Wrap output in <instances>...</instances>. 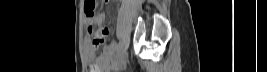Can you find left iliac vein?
Listing matches in <instances>:
<instances>
[{
	"instance_id": "4c4485c4",
	"label": "left iliac vein",
	"mask_w": 267,
	"mask_h": 72,
	"mask_svg": "<svg viewBox=\"0 0 267 72\" xmlns=\"http://www.w3.org/2000/svg\"><path fill=\"white\" fill-rule=\"evenodd\" d=\"M127 61V56L126 54H123L122 58H121V61H120V65L123 66Z\"/></svg>"
}]
</instances>
